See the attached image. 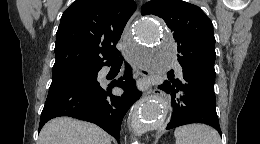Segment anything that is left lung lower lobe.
<instances>
[{"instance_id":"0a47b994","label":"left lung lower lobe","mask_w":260,"mask_h":144,"mask_svg":"<svg viewBox=\"0 0 260 144\" xmlns=\"http://www.w3.org/2000/svg\"><path fill=\"white\" fill-rule=\"evenodd\" d=\"M159 89L171 96L172 110L166 129L204 123L221 134L215 106L214 81L184 69L176 79L174 75L168 74V80Z\"/></svg>"}]
</instances>
